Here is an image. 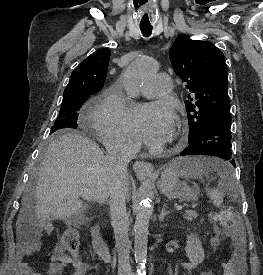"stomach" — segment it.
<instances>
[{"instance_id": "0dacf381", "label": "stomach", "mask_w": 263, "mask_h": 275, "mask_svg": "<svg viewBox=\"0 0 263 275\" xmlns=\"http://www.w3.org/2000/svg\"><path fill=\"white\" fill-rule=\"evenodd\" d=\"M158 188L167 197L178 198L182 201H190L197 196V190L179 182L178 173L173 164H170L162 171L158 181Z\"/></svg>"}]
</instances>
